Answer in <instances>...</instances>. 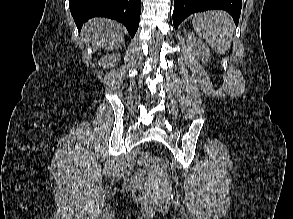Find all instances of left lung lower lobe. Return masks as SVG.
I'll list each match as a JSON object with an SVG mask.
<instances>
[{
    "mask_svg": "<svg viewBox=\"0 0 293 219\" xmlns=\"http://www.w3.org/2000/svg\"><path fill=\"white\" fill-rule=\"evenodd\" d=\"M242 8V0H174L173 24L178 25L189 15L211 9L227 11L238 24Z\"/></svg>",
    "mask_w": 293,
    "mask_h": 219,
    "instance_id": "0a47b994",
    "label": "left lung lower lobe"
}]
</instances>
